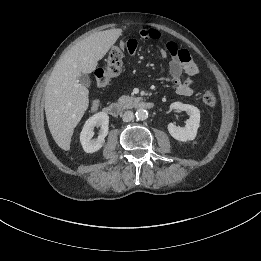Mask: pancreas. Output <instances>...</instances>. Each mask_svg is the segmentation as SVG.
Wrapping results in <instances>:
<instances>
[{
	"label": "pancreas",
	"mask_w": 261,
	"mask_h": 261,
	"mask_svg": "<svg viewBox=\"0 0 261 261\" xmlns=\"http://www.w3.org/2000/svg\"><path fill=\"white\" fill-rule=\"evenodd\" d=\"M132 100H134L133 97L123 95L118 99V102L121 106L126 107Z\"/></svg>",
	"instance_id": "cf45deb5"
}]
</instances>
